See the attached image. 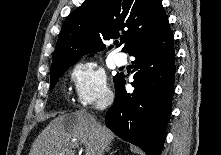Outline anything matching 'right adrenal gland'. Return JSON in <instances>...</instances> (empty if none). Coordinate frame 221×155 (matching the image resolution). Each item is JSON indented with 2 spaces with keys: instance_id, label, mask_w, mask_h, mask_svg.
Here are the masks:
<instances>
[{
  "instance_id": "1",
  "label": "right adrenal gland",
  "mask_w": 221,
  "mask_h": 155,
  "mask_svg": "<svg viewBox=\"0 0 221 155\" xmlns=\"http://www.w3.org/2000/svg\"><path fill=\"white\" fill-rule=\"evenodd\" d=\"M110 150H111V147H108V148L106 149V152H109ZM115 152H117V149L112 150V151L109 153V155H114Z\"/></svg>"
}]
</instances>
